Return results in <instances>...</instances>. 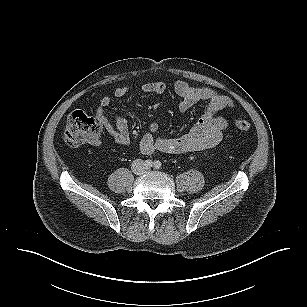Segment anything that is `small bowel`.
<instances>
[{
	"label": "small bowel",
	"mask_w": 307,
	"mask_h": 307,
	"mask_svg": "<svg viewBox=\"0 0 307 307\" xmlns=\"http://www.w3.org/2000/svg\"><path fill=\"white\" fill-rule=\"evenodd\" d=\"M167 87L163 82H147L140 86L144 93L163 94ZM129 86H118L114 90V96L122 98L129 92ZM173 91L180 97L178 108L186 111L198 103L205 102L206 110L192 130L179 137L155 136L159 131V125L153 122L149 125L148 132L142 137L139 148L142 153L150 155L155 152L170 154H187L199 152L215 147L220 143L224 131L228 128V121L219 115L223 110L235 107L234 101L216 90L209 88H195L185 81H176ZM112 97H102L100 106L96 110V116L109 136L120 146L130 144V133L127 120L121 115L113 116L109 120L106 108L110 105ZM94 144H99L98 141Z\"/></svg>",
	"instance_id": "c3829d8e"
}]
</instances>
